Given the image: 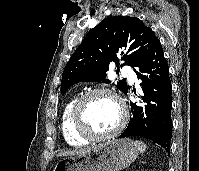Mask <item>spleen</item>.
I'll use <instances>...</instances> for the list:
<instances>
[{
	"mask_svg": "<svg viewBox=\"0 0 199 171\" xmlns=\"http://www.w3.org/2000/svg\"><path fill=\"white\" fill-rule=\"evenodd\" d=\"M135 145L137 146L140 152H144L146 150V145L142 141H135Z\"/></svg>",
	"mask_w": 199,
	"mask_h": 171,
	"instance_id": "3e777b00",
	"label": "spleen"
}]
</instances>
